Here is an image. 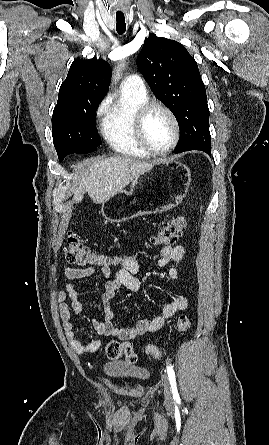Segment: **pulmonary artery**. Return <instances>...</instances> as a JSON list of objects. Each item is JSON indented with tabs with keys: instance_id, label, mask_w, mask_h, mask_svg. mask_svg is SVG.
<instances>
[{
	"instance_id": "pulmonary-artery-1",
	"label": "pulmonary artery",
	"mask_w": 269,
	"mask_h": 445,
	"mask_svg": "<svg viewBox=\"0 0 269 445\" xmlns=\"http://www.w3.org/2000/svg\"><path fill=\"white\" fill-rule=\"evenodd\" d=\"M121 88L131 90L139 94H146L145 85L142 79L136 74L126 77L121 83Z\"/></svg>"
}]
</instances>
